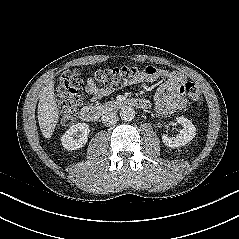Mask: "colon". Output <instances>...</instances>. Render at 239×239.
<instances>
[{"mask_svg": "<svg viewBox=\"0 0 239 239\" xmlns=\"http://www.w3.org/2000/svg\"><path fill=\"white\" fill-rule=\"evenodd\" d=\"M136 70L133 67L123 66L118 68L99 69L94 72V78L101 88H113L133 79ZM81 79L78 70L66 71L59 79L57 86V98L61 108V120L66 126L75 123L81 102ZM182 90L188 95L190 102L198 105L202 100V95L197 86L186 83Z\"/></svg>", "mask_w": 239, "mask_h": 239, "instance_id": "obj_1", "label": "colon"}]
</instances>
